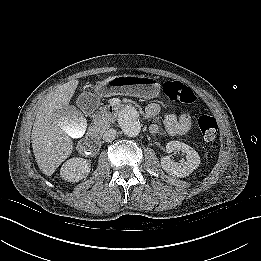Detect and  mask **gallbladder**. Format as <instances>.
Instances as JSON below:
<instances>
[{
    "label": "gallbladder",
    "instance_id": "1",
    "mask_svg": "<svg viewBox=\"0 0 261 261\" xmlns=\"http://www.w3.org/2000/svg\"><path fill=\"white\" fill-rule=\"evenodd\" d=\"M57 119L65 132L73 139L82 137L87 129V119L75 106L67 104L57 112Z\"/></svg>",
    "mask_w": 261,
    "mask_h": 261
}]
</instances>
